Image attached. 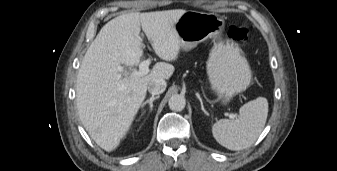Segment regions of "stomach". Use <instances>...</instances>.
I'll return each instance as SVG.
<instances>
[{
  "instance_id": "stomach-1",
  "label": "stomach",
  "mask_w": 337,
  "mask_h": 171,
  "mask_svg": "<svg viewBox=\"0 0 337 171\" xmlns=\"http://www.w3.org/2000/svg\"><path fill=\"white\" fill-rule=\"evenodd\" d=\"M223 17L214 13L186 11L174 25L184 50H190L208 38L219 39L207 61V75L212 90L224 103L245 91L251 84L252 73L239 46L222 40Z\"/></svg>"
}]
</instances>
